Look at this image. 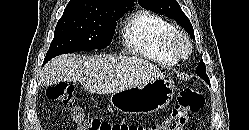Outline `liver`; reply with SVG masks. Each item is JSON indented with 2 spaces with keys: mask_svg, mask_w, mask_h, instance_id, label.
I'll return each instance as SVG.
<instances>
[{
  "mask_svg": "<svg viewBox=\"0 0 249 130\" xmlns=\"http://www.w3.org/2000/svg\"><path fill=\"white\" fill-rule=\"evenodd\" d=\"M159 78L156 65L137 57L61 55L43 68L39 85L78 81L89 93L112 94Z\"/></svg>",
  "mask_w": 249,
  "mask_h": 130,
  "instance_id": "obj_1",
  "label": "liver"
}]
</instances>
